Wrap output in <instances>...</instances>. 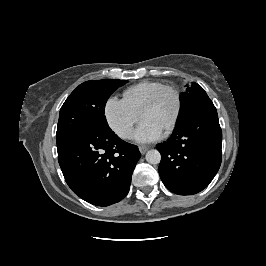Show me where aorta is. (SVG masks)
<instances>
[{"mask_svg": "<svg viewBox=\"0 0 266 266\" xmlns=\"http://www.w3.org/2000/svg\"><path fill=\"white\" fill-rule=\"evenodd\" d=\"M146 161L150 164H158L161 161V154L158 150L152 149L146 153Z\"/></svg>", "mask_w": 266, "mask_h": 266, "instance_id": "aorta-1", "label": "aorta"}]
</instances>
